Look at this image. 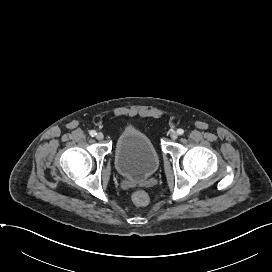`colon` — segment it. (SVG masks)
I'll return each mask as SVG.
<instances>
[{
  "instance_id": "colon-1",
  "label": "colon",
  "mask_w": 272,
  "mask_h": 272,
  "mask_svg": "<svg viewBox=\"0 0 272 272\" xmlns=\"http://www.w3.org/2000/svg\"><path fill=\"white\" fill-rule=\"evenodd\" d=\"M133 202L138 206H145L149 203V197L146 192L137 190L132 194Z\"/></svg>"
}]
</instances>
